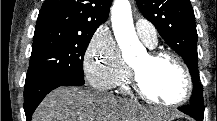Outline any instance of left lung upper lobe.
Listing matches in <instances>:
<instances>
[{
  "instance_id": "obj_1",
  "label": "left lung upper lobe",
  "mask_w": 217,
  "mask_h": 121,
  "mask_svg": "<svg viewBox=\"0 0 217 121\" xmlns=\"http://www.w3.org/2000/svg\"><path fill=\"white\" fill-rule=\"evenodd\" d=\"M165 42L185 61L193 82L190 106L199 120L204 116L203 87L198 72L197 31L190 0H136Z\"/></svg>"
}]
</instances>
